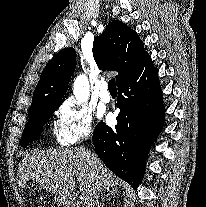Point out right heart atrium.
Listing matches in <instances>:
<instances>
[{"label": "right heart atrium", "mask_w": 206, "mask_h": 207, "mask_svg": "<svg viewBox=\"0 0 206 207\" xmlns=\"http://www.w3.org/2000/svg\"><path fill=\"white\" fill-rule=\"evenodd\" d=\"M94 132V116L86 107L69 99L56 110V140L71 146L88 139Z\"/></svg>", "instance_id": "d8ad5b80"}]
</instances>
